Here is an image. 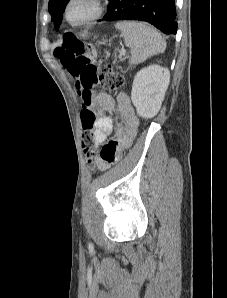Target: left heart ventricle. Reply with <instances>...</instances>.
<instances>
[{
	"label": "left heart ventricle",
	"instance_id": "b2bd125f",
	"mask_svg": "<svg viewBox=\"0 0 227 298\" xmlns=\"http://www.w3.org/2000/svg\"><path fill=\"white\" fill-rule=\"evenodd\" d=\"M94 12L92 0H74L70 6L69 15L73 22H79Z\"/></svg>",
	"mask_w": 227,
	"mask_h": 298
}]
</instances>
